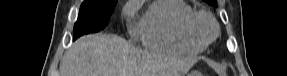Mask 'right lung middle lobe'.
Wrapping results in <instances>:
<instances>
[{"mask_svg":"<svg viewBox=\"0 0 287 76\" xmlns=\"http://www.w3.org/2000/svg\"><path fill=\"white\" fill-rule=\"evenodd\" d=\"M117 4V0L84 1L74 25V39L104 29Z\"/></svg>","mask_w":287,"mask_h":76,"instance_id":"dd1d6c3e","label":"right lung middle lobe"}]
</instances>
